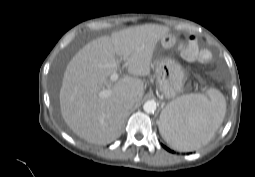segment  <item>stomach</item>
I'll use <instances>...</instances> for the list:
<instances>
[{
    "mask_svg": "<svg viewBox=\"0 0 255 177\" xmlns=\"http://www.w3.org/2000/svg\"><path fill=\"white\" fill-rule=\"evenodd\" d=\"M174 39L172 34H166L162 37V42L166 39ZM157 84L160 91L167 99H175L184 90L186 81L182 66L175 60L168 57H158L154 61Z\"/></svg>",
    "mask_w": 255,
    "mask_h": 177,
    "instance_id": "0dacf381",
    "label": "stomach"
}]
</instances>
